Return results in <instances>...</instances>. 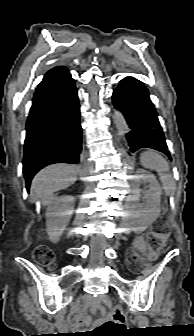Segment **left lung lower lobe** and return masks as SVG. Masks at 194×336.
Listing matches in <instances>:
<instances>
[{
  "label": "left lung lower lobe",
  "mask_w": 194,
  "mask_h": 336,
  "mask_svg": "<svg viewBox=\"0 0 194 336\" xmlns=\"http://www.w3.org/2000/svg\"><path fill=\"white\" fill-rule=\"evenodd\" d=\"M112 97L115 108L123 114L131 129L125 135L128 153L147 147L171 159L156 109L143 83L133 77H126L120 81Z\"/></svg>",
  "instance_id": "left-lung-lower-lobe-1"
}]
</instances>
